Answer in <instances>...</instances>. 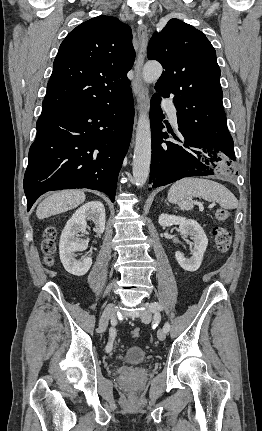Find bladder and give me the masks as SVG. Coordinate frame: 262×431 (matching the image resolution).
<instances>
[{
  "mask_svg": "<svg viewBox=\"0 0 262 431\" xmlns=\"http://www.w3.org/2000/svg\"><path fill=\"white\" fill-rule=\"evenodd\" d=\"M147 359V354L138 345H129L123 354V360L128 364L142 363Z\"/></svg>",
  "mask_w": 262,
  "mask_h": 431,
  "instance_id": "31cf9c89",
  "label": "bladder"
}]
</instances>
